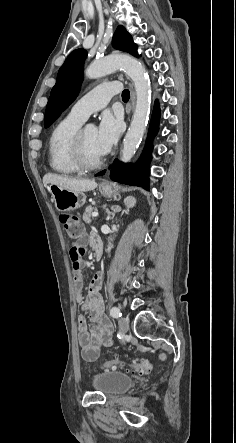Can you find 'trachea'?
I'll return each mask as SVG.
<instances>
[{"label":"trachea","instance_id":"1","mask_svg":"<svg viewBox=\"0 0 236 443\" xmlns=\"http://www.w3.org/2000/svg\"><path fill=\"white\" fill-rule=\"evenodd\" d=\"M129 97H130L129 90L125 89L122 92V99H123V101L127 102L129 100Z\"/></svg>","mask_w":236,"mask_h":443}]
</instances>
